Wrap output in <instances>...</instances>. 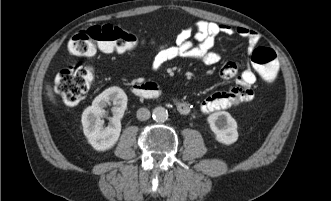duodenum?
<instances>
[{
	"label": "duodenum",
	"instance_id": "duodenum-1",
	"mask_svg": "<svg viewBox=\"0 0 331 201\" xmlns=\"http://www.w3.org/2000/svg\"><path fill=\"white\" fill-rule=\"evenodd\" d=\"M130 91L135 96L146 99H156L161 95L159 88L154 84L133 83L130 85Z\"/></svg>",
	"mask_w": 331,
	"mask_h": 201
}]
</instances>
